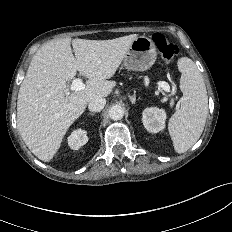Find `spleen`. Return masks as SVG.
Masks as SVG:
<instances>
[{
    "instance_id": "obj_1",
    "label": "spleen",
    "mask_w": 232,
    "mask_h": 232,
    "mask_svg": "<svg viewBox=\"0 0 232 232\" xmlns=\"http://www.w3.org/2000/svg\"><path fill=\"white\" fill-rule=\"evenodd\" d=\"M182 73L181 107L169 119L168 130L177 153H184L200 138L208 113L205 83L195 63L188 57L177 62Z\"/></svg>"
}]
</instances>
